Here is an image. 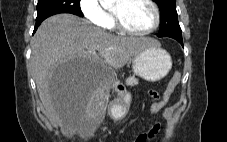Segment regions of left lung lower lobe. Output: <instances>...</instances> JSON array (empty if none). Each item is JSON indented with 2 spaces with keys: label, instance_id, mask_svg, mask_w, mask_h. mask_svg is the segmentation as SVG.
Instances as JSON below:
<instances>
[{
  "label": "left lung lower lobe",
  "instance_id": "left-lung-lower-lobe-1",
  "mask_svg": "<svg viewBox=\"0 0 227 142\" xmlns=\"http://www.w3.org/2000/svg\"><path fill=\"white\" fill-rule=\"evenodd\" d=\"M164 37H171V38H174V39H176L177 41H179V43L183 46V40H182V38L173 37V36H164Z\"/></svg>",
  "mask_w": 227,
  "mask_h": 142
}]
</instances>
